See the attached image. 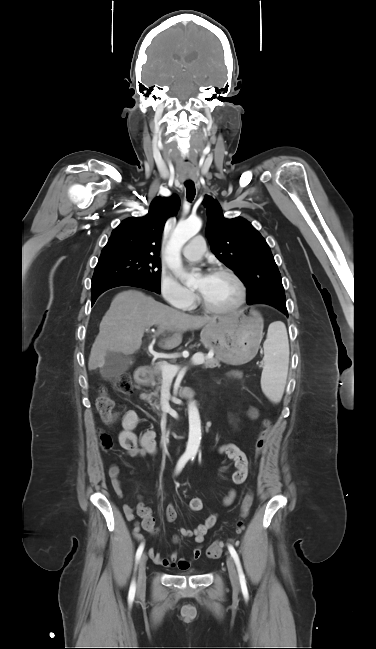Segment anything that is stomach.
<instances>
[{
  "mask_svg": "<svg viewBox=\"0 0 376 649\" xmlns=\"http://www.w3.org/2000/svg\"><path fill=\"white\" fill-rule=\"evenodd\" d=\"M263 320L256 312L251 316L233 314L207 324L201 331V342L214 350L216 357L228 364L250 361L262 340Z\"/></svg>",
  "mask_w": 376,
  "mask_h": 649,
  "instance_id": "stomach-1",
  "label": "stomach"
}]
</instances>
